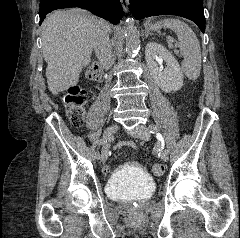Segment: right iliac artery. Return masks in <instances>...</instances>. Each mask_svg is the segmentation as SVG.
Here are the masks:
<instances>
[{"label": "right iliac artery", "instance_id": "82829eb1", "mask_svg": "<svg viewBox=\"0 0 240 238\" xmlns=\"http://www.w3.org/2000/svg\"><path fill=\"white\" fill-rule=\"evenodd\" d=\"M97 143H98V145H99L100 147L103 145L100 140H99ZM96 148H97V149H96V151H95V153H94V156L99 159V157L101 156V153H100V151H99V149H98L99 147L97 146Z\"/></svg>", "mask_w": 240, "mask_h": 238}]
</instances>
